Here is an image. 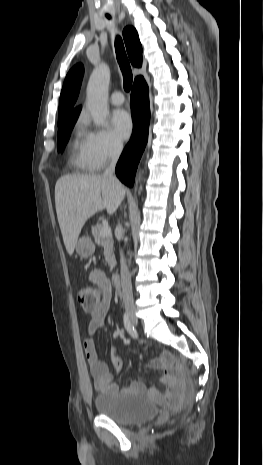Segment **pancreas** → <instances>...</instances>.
Returning a JSON list of instances; mask_svg holds the SVG:
<instances>
[{
  "instance_id": "cf45deb5",
  "label": "pancreas",
  "mask_w": 263,
  "mask_h": 465,
  "mask_svg": "<svg viewBox=\"0 0 263 465\" xmlns=\"http://www.w3.org/2000/svg\"><path fill=\"white\" fill-rule=\"evenodd\" d=\"M102 227L103 224L97 223L95 226H92L91 231L96 244L103 247L105 260L112 270L116 264L115 255L113 253V239L111 234L106 237L100 234Z\"/></svg>"
}]
</instances>
